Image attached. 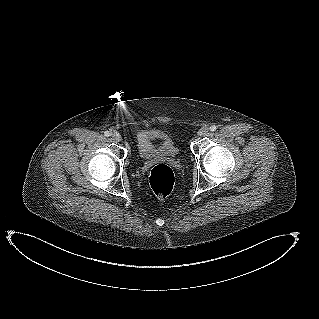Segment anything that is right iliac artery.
I'll return each instance as SVG.
<instances>
[{
  "label": "right iliac artery",
  "mask_w": 319,
  "mask_h": 319,
  "mask_svg": "<svg viewBox=\"0 0 319 319\" xmlns=\"http://www.w3.org/2000/svg\"><path fill=\"white\" fill-rule=\"evenodd\" d=\"M104 135H105L106 137H109V136L111 135V133H110L109 131H105V132H104Z\"/></svg>",
  "instance_id": "right-iliac-artery-1"
}]
</instances>
